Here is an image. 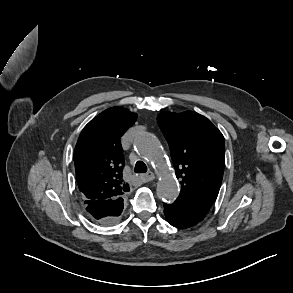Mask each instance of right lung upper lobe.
I'll use <instances>...</instances> for the list:
<instances>
[{
    "label": "right lung upper lobe",
    "instance_id": "obj_1",
    "mask_svg": "<svg viewBox=\"0 0 293 293\" xmlns=\"http://www.w3.org/2000/svg\"><path fill=\"white\" fill-rule=\"evenodd\" d=\"M137 115L121 107L107 109L82 130L74 150L76 180L85 203L122 198L129 185L124 167L121 136Z\"/></svg>",
    "mask_w": 293,
    "mask_h": 293
}]
</instances>
